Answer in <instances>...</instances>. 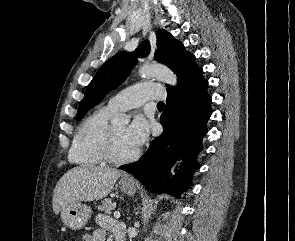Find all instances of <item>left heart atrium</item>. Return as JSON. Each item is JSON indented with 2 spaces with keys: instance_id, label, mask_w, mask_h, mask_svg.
<instances>
[{
  "instance_id": "obj_1",
  "label": "left heart atrium",
  "mask_w": 295,
  "mask_h": 241,
  "mask_svg": "<svg viewBox=\"0 0 295 241\" xmlns=\"http://www.w3.org/2000/svg\"><path fill=\"white\" fill-rule=\"evenodd\" d=\"M149 123L144 117H136L127 127L126 137L128 141L135 147L142 146L149 136Z\"/></svg>"
}]
</instances>
